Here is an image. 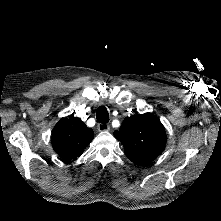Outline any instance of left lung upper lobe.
<instances>
[{
	"mask_svg": "<svg viewBox=\"0 0 221 221\" xmlns=\"http://www.w3.org/2000/svg\"><path fill=\"white\" fill-rule=\"evenodd\" d=\"M114 136L122 142L126 156L138 165L149 164L165 149L164 126L151 113L126 117Z\"/></svg>",
	"mask_w": 221,
	"mask_h": 221,
	"instance_id": "1",
	"label": "left lung upper lobe"
}]
</instances>
